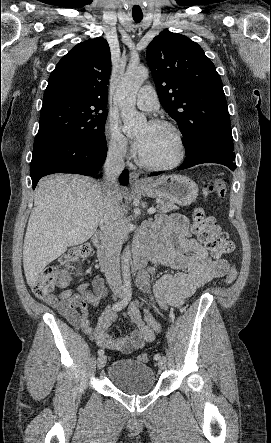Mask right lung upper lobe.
<instances>
[{
	"label": "right lung upper lobe",
	"mask_w": 271,
	"mask_h": 443,
	"mask_svg": "<svg viewBox=\"0 0 271 443\" xmlns=\"http://www.w3.org/2000/svg\"><path fill=\"white\" fill-rule=\"evenodd\" d=\"M111 55L107 41L95 38L77 44L50 74L43 103L70 99L107 106Z\"/></svg>",
	"instance_id": "1"
}]
</instances>
